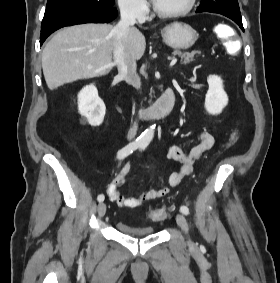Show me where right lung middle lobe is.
I'll list each match as a JSON object with an SVG mask.
<instances>
[{
	"label": "right lung middle lobe",
	"mask_w": 280,
	"mask_h": 283,
	"mask_svg": "<svg viewBox=\"0 0 280 283\" xmlns=\"http://www.w3.org/2000/svg\"><path fill=\"white\" fill-rule=\"evenodd\" d=\"M114 0H48L45 14L64 9L108 10Z\"/></svg>",
	"instance_id": "obj_1"
}]
</instances>
